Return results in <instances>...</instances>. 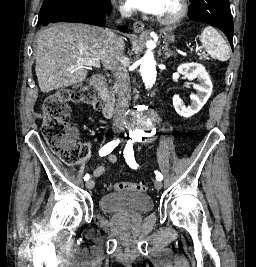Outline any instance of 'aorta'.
I'll use <instances>...</instances> for the list:
<instances>
[{
    "label": "aorta",
    "instance_id": "obj_1",
    "mask_svg": "<svg viewBox=\"0 0 256 267\" xmlns=\"http://www.w3.org/2000/svg\"><path fill=\"white\" fill-rule=\"evenodd\" d=\"M155 32H151L150 38H155ZM147 50L141 60L140 70L142 72L143 83H154L157 77V62L154 60V54L151 52L156 48L153 40L146 42ZM131 122H127V127H153V122H160V117H154V108H133ZM144 143H157V138H144Z\"/></svg>",
    "mask_w": 256,
    "mask_h": 267
}]
</instances>
